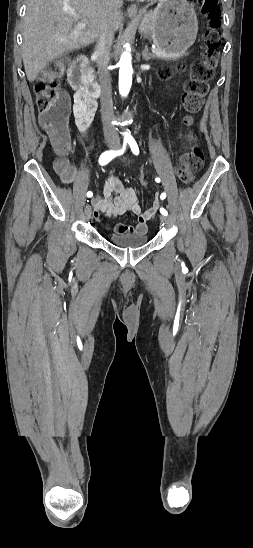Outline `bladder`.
I'll list each match as a JSON object with an SVG mask.
<instances>
[{
	"mask_svg": "<svg viewBox=\"0 0 253 548\" xmlns=\"http://www.w3.org/2000/svg\"><path fill=\"white\" fill-rule=\"evenodd\" d=\"M112 244L124 248L144 246L148 242L146 233H113L110 236Z\"/></svg>",
	"mask_w": 253,
	"mask_h": 548,
	"instance_id": "31cf9c89",
	"label": "bladder"
}]
</instances>
